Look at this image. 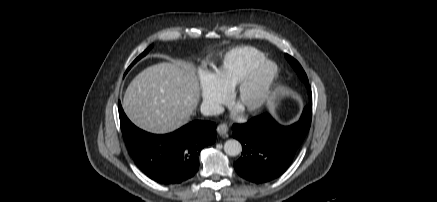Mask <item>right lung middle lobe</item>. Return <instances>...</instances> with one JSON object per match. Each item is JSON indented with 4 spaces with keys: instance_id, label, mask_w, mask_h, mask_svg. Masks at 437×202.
Masks as SVG:
<instances>
[{
    "instance_id": "1",
    "label": "right lung middle lobe",
    "mask_w": 437,
    "mask_h": 202,
    "mask_svg": "<svg viewBox=\"0 0 437 202\" xmlns=\"http://www.w3.org/2000/svg\"><path fill=\"white\" fill-rule=\"evenodd\" d=\"M153 45L149 46L141 55H139L134 62L130 65V67L128 68V70L139 60L141 59L143 56H145L151 49H152Z\"/></svg>"
}]
</instances>
